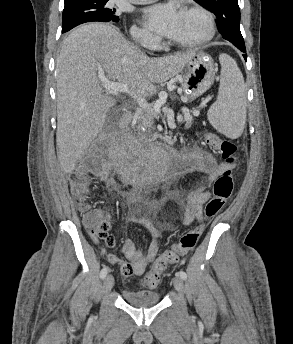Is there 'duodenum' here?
Listing matches in <instances>:
<instances>
[{"instance_id":"obj_1","label":"duodenum","mask_w":293,"mask_h":344,"mask_svg":"<svg viewBox=\"0 0 293 344\" xmlns=\"http://www.w3.org/2000/svg\"><path fill=\"white\" fill-rule=\"evenodd\" d=\"M131 123V118L128 116V117H125L122 121V127H128ZM113 151H116V148L113 149ZM176 154V157L174 159V162L177 163L178 162V170L181 169V166L182 164L187 161V156L184 154V153H175Z\"/></svg>"}]
</instances>
